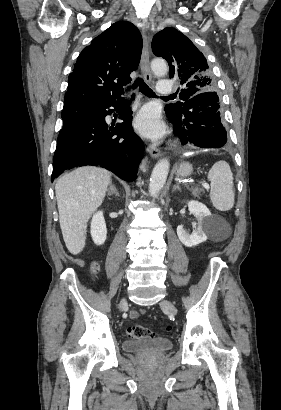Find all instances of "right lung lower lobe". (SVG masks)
<instances>
[{
    "mask_svg": "<svg viewBox=\"0 0 281 410\" xmlns=\"http://www.w3.org/2000/svg\"><path fill=\"white\" fill-rule=\"evenodd\" d=\"M124 99L104 102L91 113L63 126L53 157L52 181L64 170L78 166L104 167L126 181L136 179L144 145L131 127L132 111L123 109ZM120 111L122 123L108 128L105 116Z\"/></svg>",
    "mask_w": 281,
    "mask_h": 410,
    "instance_id": "98d812e1",
    "label": "right lung lower lobe"
}]
</instances>
